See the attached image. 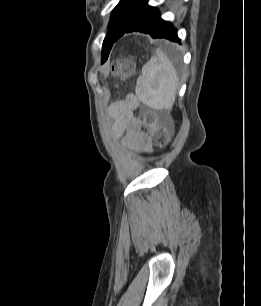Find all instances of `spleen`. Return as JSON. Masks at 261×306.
Instances as JSON below:
<instances>
[{
	"mask_svg": "<svg viewBox=\"0 0 261 306\" xmlns=\"http://www.w3.org/2000/svg\"><path fill=\"white\" fill-rule=\"evenodd\" d=\"M178 75L173 63L160 49L143 66L137 79L136 94L140 101L153 109L171 110L175 102Z\"/></svg>",
	"mask_w": 261,
	"mask_h": 306,
	"instance_id": "spleen-1",
	"label": "spleen"
}]
</instances>
